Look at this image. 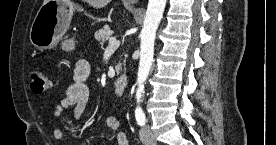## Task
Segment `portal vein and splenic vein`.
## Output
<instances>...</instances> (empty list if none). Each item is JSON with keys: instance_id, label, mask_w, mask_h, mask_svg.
Instances as JSON below:
<instances>
[{"instance_id": "18ae733b", "label": "portal vein and splenic vein", "mask_w": 276, "mask_h": 145, "mask_svg": "<svg viewBox=\"0 0 276 145\" xmlns=\"http://www.w3.org/2000/svg\"><path fill=\"white\" fill-rule=\"evenodd\" d=\"M120 45V41L116 39V37H111L109 39V45L107 47V50H116Z\"/></svg>"}]
</instances>
